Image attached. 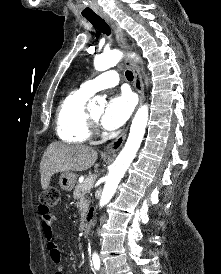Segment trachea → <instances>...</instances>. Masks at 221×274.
<instances>
[{
  "label": "trachea",
  "instance_id": "trachea-1",
  "mask_svg": "<svg viewBox=\"0 0 221 274\" xmlns=\"http://www.w3.org/2000/svg\"><path fill=\"white\" fill-rule=\"evenodd\" d=\"M86 19L100 32H102L103 34L106 35H110L111 34V30L110 27L108 26V24L105 22L104 19H102L100 16L96 15V16H91V17H86ZM126 78L129 81L133 80V73L129 70H127L125 72Z\"/></svg>",
  "mask_w": 221,
  "mask_h": 274
}]
</instances>
